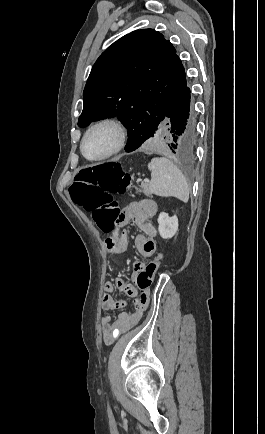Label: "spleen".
<instances>
[{
	"label": "spleen",
	"mask_w": 265,
	"mask_h": 434,
	"mask_svg": "<svg viewBox=\"0 0 265 434\" xmlns=\"http://www.w3.org/2000/svg\"><path fill=\"white\" fill-rule=\"evenodd\" d=\"M151 172L149 190L155 196H174L181 202H188L189 188L181 170L168 158H152L148 164Z\"/></svg>",
	"instance_id": "3e777b00"
}]
</instances>
